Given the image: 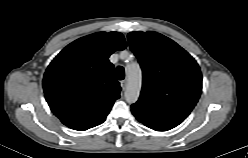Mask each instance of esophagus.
Segmentation results:
<instances>
[{"label": "esophagus", "instance_id": "1", "mask_svg": "<svg viewBox=\"0 0 248 158\" xmlns=\"http://www.w3.org/2000/svg\"><path fill=\"white\" fill-rule=\"evenodd\" d=\"M120 85H121L122 90L124 91L127 87V80H122Z\"/></svg>", "mask_w": 248, "mask_h": 158}]
</instances>
